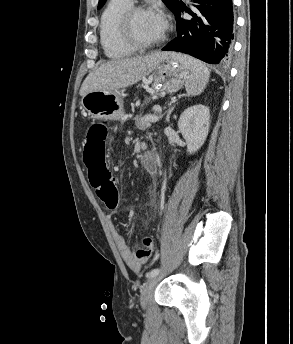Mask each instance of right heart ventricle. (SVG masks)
Wrapping results in <instances>:
<instances>
[{
	"label": "right heart ventricle",
	"mask_w": 293,
	"mask_h": 344,
	"mask_svg": "<svg viewBox=\"0 0 293 344\" xmlns=\"http://www.w3.org/2000/svg\"><path fill=\"white\" fill-rule=\"evenodd\" d=\"M131 5L128 0H109L101 13L99 38L104 54L110 59L127 58L136 51L122 40L118 29L120 16Z\"/></svg>",
	"instance_id": "e07e8e85"
}]
</instances>
